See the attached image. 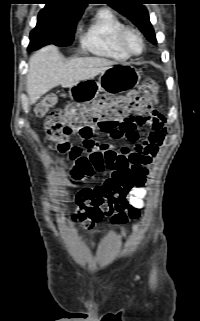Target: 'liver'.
Wrapping results in <instances>:
<instances>
[{
	"mask_svg": "<svg viewBox=\"0 0 200 321\" xmlns=\"http://www.w3.org/2000/svg\"><path fill=\"white\" fill-rule=\"evenodd\" d=\"M114 64L115 61L101 57H82L64 62L55 46H46L29 59L27 93L30 102L35 103L58 85L70 88L80 81L94 78Z\"/></svg>",
	"mask_w": 200,
	"mask_h": 321,
	"instance_id": "obj_1",
	"label": "liver"
}]
</instances>
